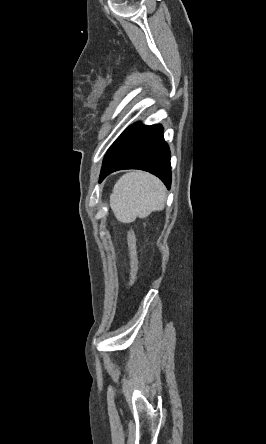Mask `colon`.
<instances>
[{"instance_id":"colon-1","label":"colon","mask_w":266,"mask_h":444,"mask_svg":"<svg viewBox=\"0 0 266 444\" xmlns=\"http://www.w3.org/2000/svg\"><path fill=\"white\" fill-rule=\"evenodd\" d=\"M127 236H128V247H129V256H130L129 284L130 287H132L136 281L137 272H138L137 246H136V237L132 229L128 230Z\"/></svg>"}]
</instances>
